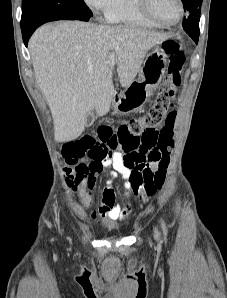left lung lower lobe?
Here are the masks:
<instances>
[{
    "mask_svg": "<svg viewBox=\"0 0 227 298\" xmlns=\"http://www.w3.org/2000/svg\"><path fill=\"white\" fill-rule=\"evenodd\" d=\"M195 42L198 43V40L196 39Z\"/></svg>",
    "mask_w": 227,
    "mask_h": 298,
    "instance_id": "0a47b994",
    "label": "left lung lower lobe"
}]
</instances>
